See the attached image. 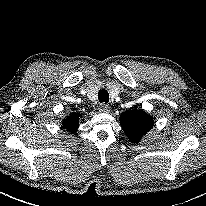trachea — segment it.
Here are the masks:
<instances>
[{
	"label": "trachea",
	"mask_w": 206,
	"mask_h": 206,
	"mask_svg": "<svg viewBox=\"0 0 206 206\" xmlns=\"http://www.w3.org/2000/svg\"><path fill=\"white\" fill-rule=\"evenodd\" d=\"M98 99H99V102L108 103L109 102V93L106 90H100L98 92Z\"/></svg>",
	"instance_id": "3493384b"
}]
</instances>
